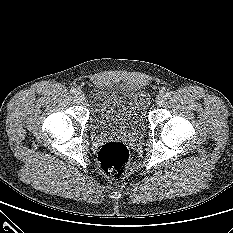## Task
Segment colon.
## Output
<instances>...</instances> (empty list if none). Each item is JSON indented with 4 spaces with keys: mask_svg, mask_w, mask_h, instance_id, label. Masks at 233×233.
Listing matches in <instances>:
<instances>
[{
    "mask_svg": "<svg viewBox=\"0 0 233 233\" xmlns=\"http://www.w3.org/2000/svg\"><path fill=\"white\" fill-rule=\"evenodd\" d=\"M98 166L105 176L112 179L120 178L130 167L127 146L119 141L104 144L99 151Z\"/></svg>",
    "mask_w": 233,
    "mask_h": 233,
    "instance_id": "colon-1",
    "label": "colon"
}]
</instances>
